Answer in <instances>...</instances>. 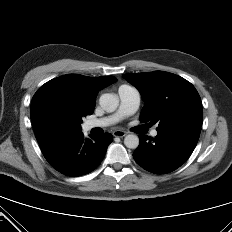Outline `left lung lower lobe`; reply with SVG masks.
<instances>
[{
	"label": "left lung lower lobe",
	"instance_id": "1",
	"mask_svg": "<svg viewBox=\"0 0 232 232\" xmlns=\"http://www.w3.org/2000/svg\"><path fill=\"white\" fill-rule=\"evenodd\" d=\"M201 127L178 125L157 129V136L139 135L140 144L133 153L135 161L145 170L166 174L184 164L198 142Z\"/></svg>",
	"mask_w": 232,
	"mask_h": 232
}]
</instances>
